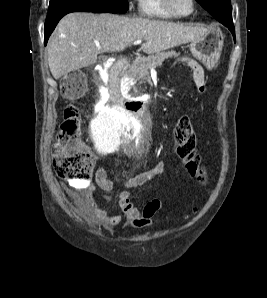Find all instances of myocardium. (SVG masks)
<instances>
[{
	"mask_svg": "<svg viewBox=\"0 0 267 298\" xmlns=\"http://www.w3.org/2000/svg\"><path fill=\"white\" fill-rule=\"evenodd\" d=\"M162 6L163 8L170 13L172 16L177 17V18H185L188 17L190 15H192L195 11V0H191V4H192V8L191 11L187 14H180L178 12H176L174 10V8L171 5V1L170 0H161Z\"/></svg>",
	"mask_w": 267,
	"mask_h": 298,
	"instance_id": "1",
	"label": "myocardium"
}]
</instances>
